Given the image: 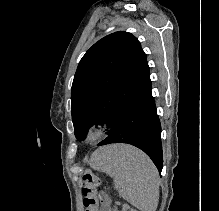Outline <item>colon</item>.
Here are the masks:
<instances>
[{
    "label": "colon",
    "instance_id": "1",
    "mask_svg": "<svg viewBox=\"0 0 219 211\" xmlns=\"http://www.w3.org/2000/svg\"><path fill=\"white\" fill-rule=\"evenodd\" d=\"M83 180L85 183L84 195H85V206L86 211H98L99 206V196L98 189L101 185L100 177L91 170H86L83 174ZM122 211H137L126 205L122 206Z\"/></svg>",
    "mask_w": 219,
    "mask_h": 211
}]
</instances>
